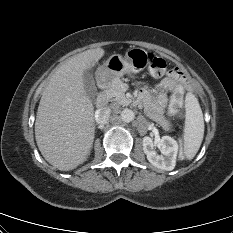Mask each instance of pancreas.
Returning <instances> with one entry per match:
<instances>
[{
  "mask_svg": "<svg viewBox=\"0 0 233 233\" xmlns=\"http://www.w3.org/2000/svg\"><path fill=\"white\" fill-rule=\"evenodd\" d=\"M122 86L123 82L119 79H116L106 93L109 97L113 98V100L116 101L118 104L127 106L131 103V99L126 98Z\"/></svg>",
  "mask_w": 233,
  "mask_h": 233,
  "instance_id": "obj_1",
  "label": "pancreas"
}]
</instances>
